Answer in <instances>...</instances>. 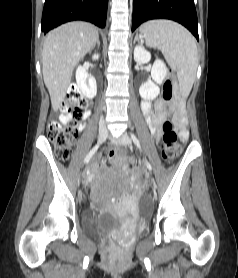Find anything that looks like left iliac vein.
<instances>
[{
    "label": "left iliac vein",
    "mask_w": 238,
    "mask_h": 278,
    "mask_svg": "<svg viewBox=\"0 0 238 278\" xmlns=\"http://www.w3.org/2000/svg\"><path fill=\"white\" fill-rule=\"evenodd\" d=\"M118 141L123 144V145H131L132 144V140L131 138L129 137L128 134L126 133H123L119 138H118ZM152 188L153 190H156L157 188V182H153V185H152Z\"/></svg>",
    "instance_id": "4c4485c4"
}]
</instances>
